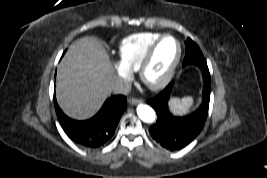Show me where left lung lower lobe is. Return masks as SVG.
<instances>
[{
  "mask_svg": "<svg viewBox=\"0 0 267 178\" xmlns=\"http://www.w3.org/2000/svg\"><path fill=\"white\" fill-rule=\"evenodd\" d=\"M203 76L202 102L197 110L186 116H174L168 109V100L173 83L162 92L147 100L157 113V121L149 128L151 137L162 147L170 151L184 148L201 132L207 119L211 78L208 69H201Z\"/></svg>",
  "mask_w": 267,
  "mask_h": 178,
  "instance_id": "left-lung-lower-lobe-1",
  "label": "left lung lower lobe"
}]
</instances>
